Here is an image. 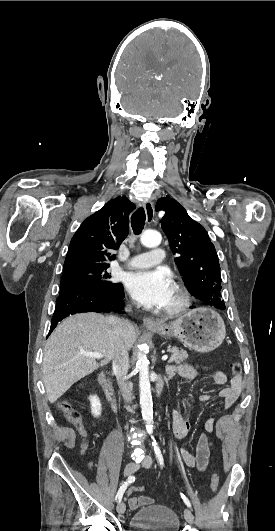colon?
Returning a JSON list of instances; mask_svg holds the SVG:
<instances>
[{"label":"colon","mask_w":275,"mask_h":531,"mask_svg":"<svg viewBox=\"0 0 275 531\" xmlns=\"http://www.w3.org/2000/svg\"><path fill=\"white\" fill-rule=\"evenodd\" d=\"M232 371L236 374L241 372V364L239 362H234L232 364ZM59 408L62 411V413L66 416V418L77 427L78 431L81 434L85 433L84 429V418L81 412L75 408H73L71 405L67 403H60ZM219 484V477L217 473H213L211 475V481H210V487L213 492H215L218 489ZM134 494H144L146 492V489L142 486L138 487H132Z\"/></svg>","instance_id":"1"}]
</instances>
